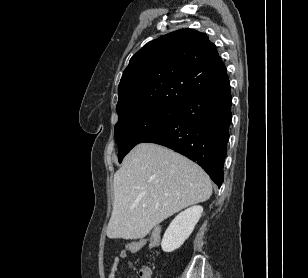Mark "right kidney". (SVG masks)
<instances>
[{
  "instance_id": "obj_1",
  "label": "right kidney",
  "mask_w": 308,
  "mask_h": 278,
  "mask_svg": "<svg viewBox=\"0 0 308 278\" xmlns=\"http://www.w3.org/2000/svg\"><path fill=\"white\" fill-rule=\"evenodd\" d=\"M202 213L203 207L197 205L178 214L164 233L162 250L169 253L178 249L190 236Z\"/></svg>"
}]
</instances>
